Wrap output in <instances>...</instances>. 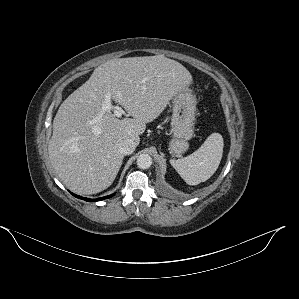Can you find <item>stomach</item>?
I'll return each instance as SVG.
<instances>
[{"label": "stomach", "instance_id": "stomach-1", "mask_svg": "<svg viewBox=\"0 0 299 299\" xmlns=\"http://www.w3.org/2000/svg\"><path fill=\"white\" fill-rule=\"evenodd\" d=\"M196 103L195 96L187 87L174 95L170 129L171 139L168 144L171 155L178 156L189 148L188 140L194 134Z\"/></svg>", "mask_w": 299, "mask_h": 299}]
</instances>
